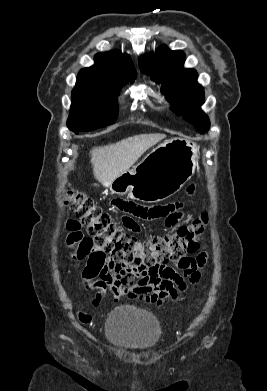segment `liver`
I'll list each match as a JSON object with an SVG mask.
<instances>
[{
    "label": "liver",
    "instance_id": "6515ba94",
    "mask_svg": "<svg viewBox=\"0 0 267 391\" xmlns=\"http://www.w3.org/2000/svg\"><path fill=\"white\" fill-rule=\"evenodd\" d=\"M166 137L165 134H141L117 143L91 150L93 174L104 187L129 170L149 148Z\"/></svg>",
    "mask_w": 267,
    "mask_h": 391
}]
</instances>
